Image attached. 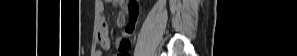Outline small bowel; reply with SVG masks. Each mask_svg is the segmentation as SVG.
I'll return each instance as SVG.
<instances>
[{
  "instance_id": "c3829d8e",
  "label": "small bowel",
  "mask_w": 297,
  "mask_h": 56,
  "mask_svg": "<svg viewBox=\"0 0 297 56\" xmlns=\"http://www.w3.org/2000/svg\"><path fill=\"white\" fill-rule=\"evenodd\" d=\"M117 3L119 8L130 15L131 23L126 27V33L117 39V56H129L128 50L130 48V42L128 35L134 31V24L138 15L139 7L136 1L131 0H121L119 2L110 1ZM118 25H123V19H118ZM98 43L103 50H109L111 46L110 37H109V28L106 19L103 17L100 21V27L98 31ZM96 56H102V51H96Z\"/></svg>"
}]
</instances>
